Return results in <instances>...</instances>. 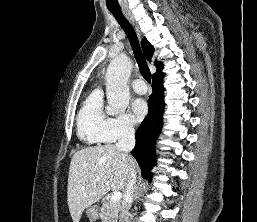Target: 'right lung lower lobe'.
Returning <instances> with one entry per match:
<instances>
[{
	"label": "right lung lower lobe",
	"instance_id": "obj_1",
	"mask_svg": "<svg viewBox=\"0 0 257 222\" xmlns=\"http://www.w3.org/2000/svg\"><path fill=\"white\" fill-rule=\"evenodd\" d=\"M163 76L161 72L153 75V92L148 99V115L135 133L136 146L132 150V155L142 170V176L150 181L152 179L151 169L156 165L154 142L163 124L162 116L165 106Z\"/></svg>",
	"mask_w": 257,
	"mask_h": 222
}]
</instances>
